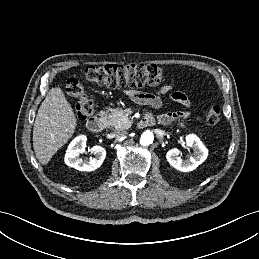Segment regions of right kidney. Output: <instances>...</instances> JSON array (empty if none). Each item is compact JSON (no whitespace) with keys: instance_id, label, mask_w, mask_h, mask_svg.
Wrapping results in <instances>:
<instances>
[{"instance_id":"right-kidney-1","label":"right kidney","mask_w":259,"mask_h":259,"mask_svg":"<svg viewBox=\"0 0 259 259\" xmlns=\"http://www.w3.org/2000/svg\"><path fill=\"white\" fill-rule=\"evenodd\" d=\"M86 141L87 137L85 135L77 136L71 141L65 155L66 165L86 172L94 171L102 165L106 157V150L99 145H95L90 149L95 155L94 158H90L89 161H83L80 158V154L85 151Z\"/></svg>"}]
</instances>
